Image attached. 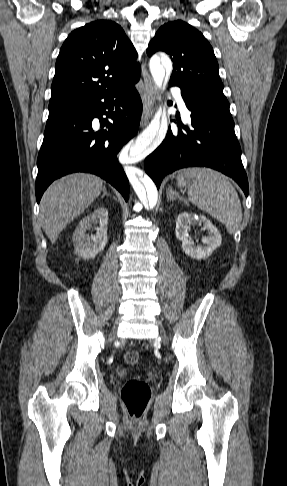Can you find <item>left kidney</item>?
Instances as JSON below:
<instances>
[{"mask_svg":"<svg viewBox=\"0 0 287 486\" xmlns=\"http://www.w3.org/2000/svg\"><path fill=\"white\" fill-rule=\"evenodd\" d=\"M192 224H203V229L208 231V236L202 239V245L196 246L189 238L188 230ZM175 234L182 242V249L191 258L205 259L221 245L222 237L218 229L203 215L183 212L176 221Z\"/></svg>","mask_w":287,"mask_h":486,"instance_id":"5707ae66","label":"left kidney"}]
</instances>
